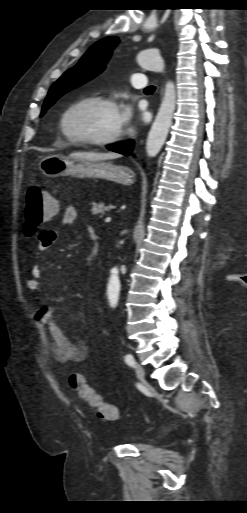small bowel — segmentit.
I'll return each instance as SVG.
<instances>
[{"instance_id": "obj_1", "label": "small bowel", "mask_w": 247, "mask_h": 513, "mask_svg": "<svg viewBox=\"0 0 247 513\" xmlns=\"http://www.w3.org/2000/svg\"><path fill=\"white\" fill-rule=\"evenodd\" d=\"M78 218L77 209L74 206H67L63 211L61 221L63 224H72ZM89 237L93 232L89 226H85ZM58 232L52 228H44L37 235L36 255L41 254L50 248L58 239ZM43 268L40 264H34L29 269V277L26 281V288L35 292L40 287V279ZM36 320L48 331L52 346L51 351L54 359L61 364H76L86 360L88 349L84 339L72 340L57 322V308L45 303H40L35 312Z\"/></svg>"}]
</instances>
